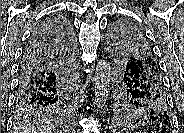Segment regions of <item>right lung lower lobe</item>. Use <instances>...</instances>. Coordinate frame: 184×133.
<instances>
[{
  "label": "right lung lower lobe",
  "instance_id": "right-lung-lower-lobe-1",
  "mask_svg": "<svg viewBox=\"0 0 184 133\" xmlns=\"http://www.w3.org/2000/svg\"><path fill=\"white\" fill-rule=\"evenodd\" d=\"M74 49V37L61 17L42 22L23 52L16 104L44 103L65 90Z\"/></svg>",
  "mask_w": 184,
  "mask_h": 133
}]
</instances>
